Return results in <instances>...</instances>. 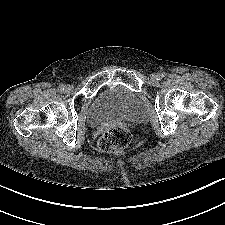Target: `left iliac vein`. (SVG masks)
Here are the masks:
<instances>
[{
  "label": "left iliac vein",
  "instance_id": "1",
  "mask_svg": "<svg viewBox=\"0 0 225 225\" xmlns=\"http://www.w3.org/2000/svg\"><path fill=\"white\" fill-rule=\"evenodd\" d=\"M159 77H160V74H157V73H153V74L151 75V79H152V80H158Z\"/></svg>",
  "mask_w": 225,
  "mask_h": 225
}]
</instances>
